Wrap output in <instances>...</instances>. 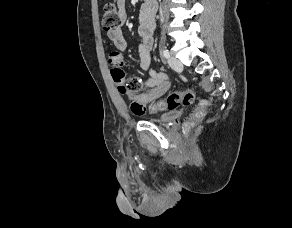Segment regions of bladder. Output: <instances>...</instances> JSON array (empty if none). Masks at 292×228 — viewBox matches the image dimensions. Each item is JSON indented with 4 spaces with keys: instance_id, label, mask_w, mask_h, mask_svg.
<instances>
[{
    "instance_id": "31cf9c89",
    "label": "bladder",
    "mask_w": 292,
    "mask_h": 228,
    "mask_svg": "<svg viewBox=\"0 0 292 228\" xmlns=\"http://www.w3.org/2000/svg\"><path fill=\"white\" fill-rule=\"evenodd\" d=\"M181 112L180 111H176V110H172L169 111L167 113H164L156 118H148L149 121L158 123L160 125H168L170 122H172L173 120H175L176 118H178L180 116Z\"/></svg>"
}]
</instances>
